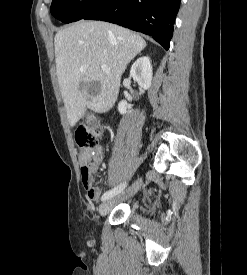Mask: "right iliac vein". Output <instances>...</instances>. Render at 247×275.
I'll return each instance as SVG.
<instances>
[{
    "label": "right iliac vein",
    "instance_id": "63e3f726",
    "mask_svg": "<svg viewBox=\"0 0 247 275\" xmlns=\"http://www.w3.org/2000/svg\"><path fill=\"white\" fill-rule=\"evenodd\" d=\"M141 185H142V179L138 178L130 187H128V189H126L119 195L104 201L99 207L100 215L105 216L112 209L115 203L133 196L140 189Z\"/></svg>",
    "mask_w": 247,
    "mask_h": 275
}]
</instances>
